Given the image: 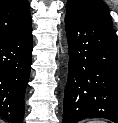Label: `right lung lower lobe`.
I'll return each instance as SVG.
<instances>
[{"label": "right lung lower lobe", "instance_id": "obj_1", "mask_svg": "<svg viewBox=\"0 0 118 123\" xmlns=\"http://www.w3.org/2000/svg\"><path fill=\"white\" fill-rule=\"evenodd\" d=\"M32 62V27L0 38V117L23 123L24 95Z\"/></svg>", "mask_w": 118, "mask_h": 123}]
</instances>
